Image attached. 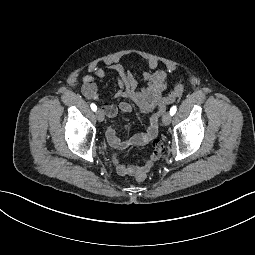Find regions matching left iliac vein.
Segmentation results:
<instances>
[{"instance_id":"4c4485c4","label":"left iliac vein","mask_w":255,"mask_h":255,"mask_svg":"<svg viewBox=\"0 0 255 255\" xmlns=\"http://www.w3.org/2000/svg\"><path fill=\"white\" fill-rule=\"evenodd\" d=\"M172 116L169 112L165 113L162 118V122L165 126H168L171 123Z\"/></svg>"}]
</instances>
